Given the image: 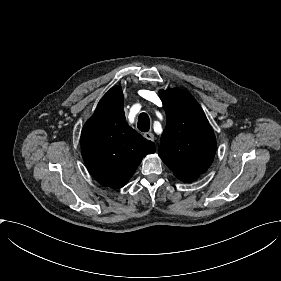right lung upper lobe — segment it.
Instances as JSON below:
<instances>
[{
	"label": "right lung upper lobe",
	"instance_id": "cb5924a9",
	"mask_svg": "<svg viewBox=\"0 0 281 281\" xmlns=\"http://www.w3.org/2000/svg\"><path fill=\"white\" fill-rule=\"evenodd\" d=\"M119 86L100 100L81 133V150L90 174L103 186L120 188L133 176L142 159L156 148L128 126Z\"/></svg>",
	"mask_w": 281,
	"mask_h": 281
}]
</instances>
